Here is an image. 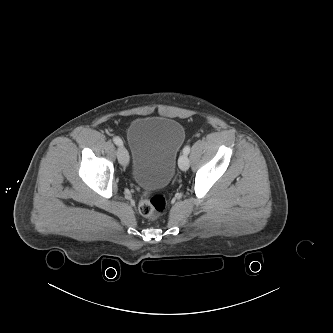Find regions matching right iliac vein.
Instances as JSON below:
<instances>
[{
    "label": "right iliac vein",
    "mask_w": 333,
    "mask_h": 333,
    "mask_svg": "<svg viewBox=\"0 0 333 333\" xmlns=\"http://www.w3.org/2000/svg\"><path fill=\"white\" fill-rule=\"evenodd\" d=\"M117 157H118V161L122 166H127L129 163V155L128 152L126 150V148H124L123 146H120L117 150Z\"/></svg>",
    "instance_id": "1"
}]
</instances>
